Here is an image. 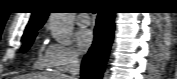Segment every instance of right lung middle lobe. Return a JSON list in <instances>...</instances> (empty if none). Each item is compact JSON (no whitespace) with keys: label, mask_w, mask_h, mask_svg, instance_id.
<instances>
[{"label":"right lung middle lobe","mask_w":177,"mask_h":79,"mask_svg":"<svg viewBox=\"0 0 177 79\" xmlns=\"http://www.w3.org/2000/svg\"><path fill=\"white\" fill-rule=\"evenodd\" d=\"M35 36H36V31H33V32H30L29 34L25 35L24 37H22V41H25V42L21 48V52H25L30 48Z\"/></svg>","instance_id":"right-lung-middle-lobe-1"}]
</instances>
